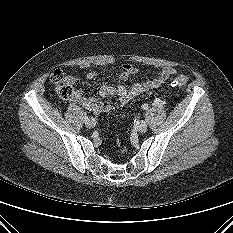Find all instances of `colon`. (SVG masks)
<instances>
[{
    "label": "colon",
    "mask_w": 233,
    "mask_h": 233,
    "mask_svg": "<svg viewBox=\"0 0 233 233\" xmlns=\"http://www.w3.org/2000/svg\"><path fill=\"white\" fill-rule=\"evenodd\" d=\"M50 80L55 87L59 97L63 100L73 99L76 95L72 81L61 71L55 70L50 76ZM188 82V77L180 75L172 81L173 86H183Z\"/></svg>",
    "instance_id": "1"
}]
</instances>
